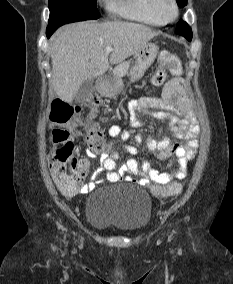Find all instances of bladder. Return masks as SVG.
Wrapping results in <instances>:
<instances>
[{
    "mask_svg": "<svg viewBox=\"0 0 233 284\" xmlns=\"http://www.w3.org/2000/svg\"><path fill=\"white\" fill-rule=\"evenodd\" d=\"M152 216L149 194L134 185H120L94 191L86 199V221L98 229L126 233L143 230Z\"/></svg>",
    "mask_w": 233,
    "mask_h": 284,
    "instance_id": "bladder-1",
    "label": "bladder"
}]
</instances>
